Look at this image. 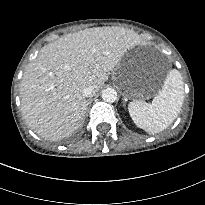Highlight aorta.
I'll use <instances>...</instances> for the list:
<instances>
[{"instance_id": "aorta-1", "label": "aorta", "mask_w": 205, "mask_h": 205, "mask_svg": "<svg viewBox=\"0 0 205 205\" xmlns=\"http://www.w3.org/2000/svg\"><path fill=\"white\" fill-rule=\"evenodd\" d=\"M102 99L105 102L113 103L117 100V92L113 88H106L102 92Z\"/></svg>"}]
</instances>
